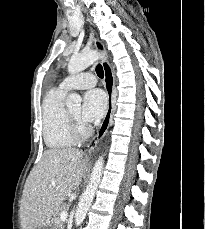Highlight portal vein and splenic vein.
I'll return each mask as SVG.
<instances>
[{
	"label": "portal vein and splenic vein",
	"instance_id": "18ae733b",
	"mask_svg": "<svg viewBox=\"0 0 205 229\" xmlns=\"http://www.w3.org/2000/svg\"><path fill=\"white\" fill-rule=\"evenodd\" d=\"M67 218H68V213L67 212H62L60 214V219L61 220L65 221V220H67Z\"/></svg>",
	"mask_w": 205,
	"mask_h": 229
}]
</instances>
